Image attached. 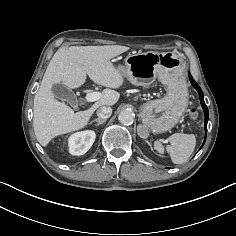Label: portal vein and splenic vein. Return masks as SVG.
Wrapping results in <instances>:
<instances>
[{
  "mask_svg": "<svg viewBox=\"0 0 236 236\" xmlns=\"http://www.w3.org/2000/svg\"><path fill=\"white\" fill-rule=\"evenodd\" d=\"M101 98V93L99 92H90L86 95L87 102H94Z\"/></svg>",
  "mask_w": 236,
  "mask_h": 236,
  "instance_id": "18ae733b",
  "label": "portal vein and splenic vein"
}]
</instances>
